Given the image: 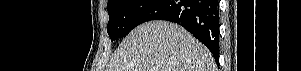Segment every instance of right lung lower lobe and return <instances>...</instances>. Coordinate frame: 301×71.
Here are the masks:
<instances>
[{"instance_id":"98d812e1","label":"right lung lower lobe","mask_w":301,"mask_h":71,"mask_svg":"<svg viewBox=\"0 0 301 71\" xmlns=\"http://www.w3.org/2000/svg\"><path fill=\"white\" fill-rule=\"evenodd\" d=\"M177 23L192 33L213 54L219 63V2L218 0H157L139 20Z\"/></svg>"}]
</instances>
